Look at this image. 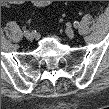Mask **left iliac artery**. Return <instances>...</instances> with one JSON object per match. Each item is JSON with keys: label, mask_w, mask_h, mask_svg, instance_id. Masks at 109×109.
<instances>
[{"label": "left iliac artery", "mask_w": 109, "mask_h": 109, "mask_svg": "<svg viewBox=\"0 0 109 109\" xmlns=\"http://www.w3.org/2000/svg\"><path fill=\"white\" fill-rule=\"evenodd\" d=\"M78 26H79V23H78L77 21H75V22H74V27H75V28H78Z\"/></svg>", "instance_id": "obj_1"}]
</instances>
